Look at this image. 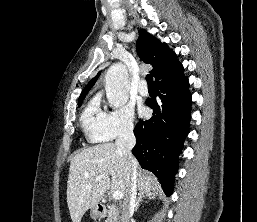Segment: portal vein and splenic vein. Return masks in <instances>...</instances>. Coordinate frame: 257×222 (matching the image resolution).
I'll return each instance as SVG.
<instances>
[{"label": "portal vein and splenic vein", "mask_w": 257, "mask_h": 222, "mask_svg": "<svg viewBox=\"0 0 257 222\" xmlns=\"http://www.w3.org/2000/svg\"><path fill=\"white\" fill-rule=\"evenodd\" d=\"M100 180H101V177H96V178L94 179L95 182H98V181H100ZM112 198H113L114 200H120V199L123 198V194H122V192H120V191H114L113 194H112Z\"/></svg>", "instance_id": "1"}]
</instances>
